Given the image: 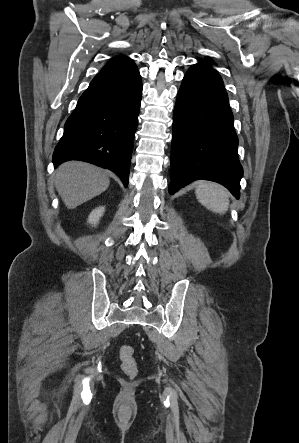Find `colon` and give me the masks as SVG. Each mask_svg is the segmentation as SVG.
I'll use <instances>...</instances> for the list:
<instances>
[{
    "instance_id": "colon-1",
    "label": "colon",
    "mask_w": 299,
    "mask_h": 443,
    "mask_svg": "<svg viewBox=\"0 0 299 443\" xmlns=\"http://www.w3.org/2000/svg\"><path fill=\"white\" fill-rule=\"evenodd\" d=\"M121 368L129 377H135L138 368L134 358V350L129 346H123L120 349Z\"/></svg>"
}]
</instances>
